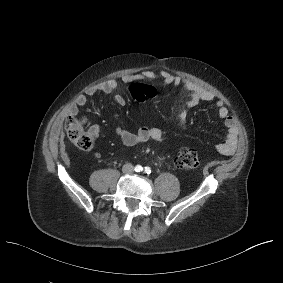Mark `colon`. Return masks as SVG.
<instances>
[{"label":"colon","instance_id":"1","mask_svg":"<svg viewBox=\"0 0 283 283\" xmlns=\"http://www.w3.org/2000/svg\"><path fill=\"white\" fill-rule=\"evenodd\" d=\"M131 96L136 101H145L156 96V89L152 86L136 83L129 88ZM65 128L70 140L82 150H91L94 142L92 137L83 127V121L74 115H68ZM175 165L182 170L196 169L200 165L197 152L191 148L182 149L175 158Z\"/></svg>","mask_w":283,"mask_h":283}]
</instances>
